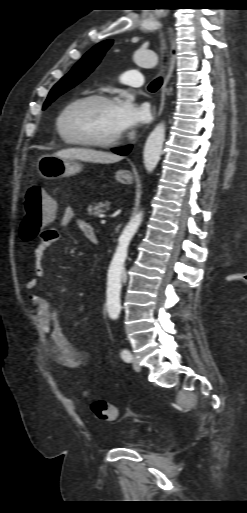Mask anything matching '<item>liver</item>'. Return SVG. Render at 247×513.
I'll return each instance as SVG.
<instances>
[{
	"mask_svg": "<svg viewBox=\"0 0 247 513\" xmlns=\"http://www.w3.org/2000/svg\"><path fill=\"white\" fill-rule=\"evenodd\" d=\"M63 159H78L95 163H113L122 159L121 156L110 152H102L90 148H68L55 153Z\"/></svg>",
	"mask_w": 247,
	"mask_h": 513,
	"instance_id": "1",
	"label": "liver"
}]
</instances>
